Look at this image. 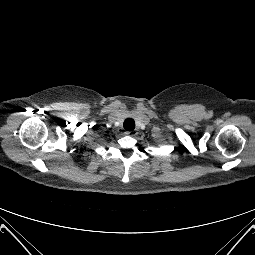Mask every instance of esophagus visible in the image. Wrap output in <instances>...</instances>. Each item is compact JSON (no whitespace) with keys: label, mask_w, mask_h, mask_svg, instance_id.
<instances>
[{"label":"esophagus","mask_w":255,"mask_h":255,"mask_svg":"<svg viewBox=\"0 0 255 255\" xmlns=\"http://www.w3.org/2000/svg\"><path fill=\"white\" fill-rule=\"evenodd\" d=\"M137 134V132L135 131V130H132V131H127L126 132V135H128V136H135Z\"/></svg>","instance_id":"esophagus-1"}]
</instances>
